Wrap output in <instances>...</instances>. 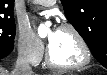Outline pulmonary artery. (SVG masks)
Here are the masks:
<instances>
[{"label": "pulmonary artery", "mask_w": 107, "mask_h": 75, "mask_svg": "<svg viewBox=\"0 0 107 75\" xmlns=\"http://www.w3.org/2000/svg\"><path fill=\"white\" fill-rule=\"evenodd\" d=\"M56 0H35L33 3L42 5V6H52L55 4Z\"/></svg>", "instance_id": "1"}]
</instances>
